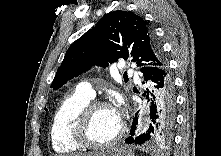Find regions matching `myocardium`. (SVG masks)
Wrapping results in <instances>:
<instances>
[{
  "instance_id": "myocardium-1",
  "label": "myocardium",
  "mask_w": 221,
  "mask_h": 156,
  "mask_svg": "<svg viewBox=\"0 0 221 156\" xmlns=\"http://www.w3.org/2000/svg\"><path fill=\"white\" fill-rule=\"evenodd\" d=\"M103 107H110V104L106 101L100 100L90 101L77 114L72 125L71 136L73 141L80 147L104 149L115 145L122 138L125 132V126L121 122L118 132L107 142L96 143L88 137V126L90 120L95 111Z\"/></svg>"
}]
</instances>
